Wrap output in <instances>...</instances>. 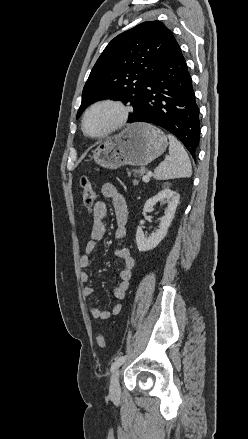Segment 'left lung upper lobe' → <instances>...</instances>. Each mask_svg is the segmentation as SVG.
Listing matches in <instances>:
<instances>
[{
  "label": "left lung upper lobe",
  "instance_id": "5c2ea615",
  "mask_svg": "<svg viewBox=\"0 0 248 439\" xmlns=\"http://www.w3.org/2000/svg\"><path fill=\"white\" fill-rule=\"evenodd\" d=\"M176 44L172 32L160 21L143 22L116 36L91 70L77 118L90 104L104 99L129 102L135 113L148 83Z\"/></svg>",
  "mask_w": 248,
  "mask_h": 439
}]
</instances>
